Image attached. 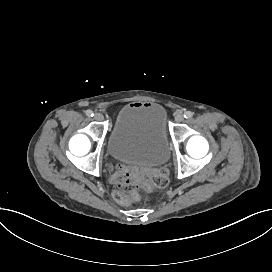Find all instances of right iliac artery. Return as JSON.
<instances>
[{"mask_svg": "<svg viewBox=\"0 0 272 272\" xmlns=\"http://www.w3.org/2000/svg\"><path fill=\"white\" fill-rule=\"evenodd\" d=\"M86 115L89 116V117H93V116H94V113H93V111H91V110H87V111H86Z\"/></svg>", "mask_w": 272, "mask_h": 272, "instance_id": "obj_1", "label": "right iliac artery"}]
</instances>
